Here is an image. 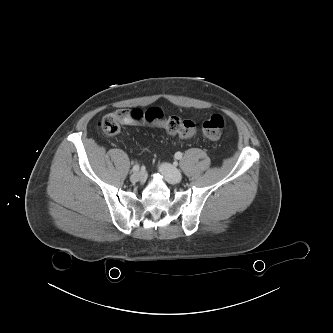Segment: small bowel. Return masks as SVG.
<instances>
[{
    "instance_id": "c3829d8e",
    "label": "small bowel",
    "mask_w": 333,
    "mask_h": 333,
    "mask_svg": "<svg viewBox=\"0 0 333 333\" xmlns=\"http://www.w3.org/2000/svg\"><path fill=\"white\" fill-rule=\"evenodd\" d=\"M127 110L131 114V120L128 123V125L144 124V123H146L145 121H143L144 117L163 118V113L158 108H151V109L146 110V111H142V110H139V109H127Z\"/></svg>"
}]
</instances>
